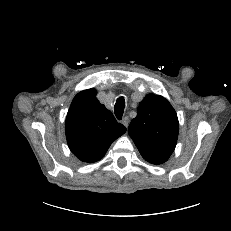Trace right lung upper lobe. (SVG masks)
Returning <instances> with one entry per match:
<instances>
[{"mask_svg":"<svg viewBox=\"0 0 231 231\" xmlns=\"http://www.w3.org/2000/svg\"><path fill=\"white\" fill-rule=\"evenodd\" d=\"M95 89L78 93L67 113L65 130L71 152L81 161L100 160L126 128L96 98Z\"/></svg>","mask_w":231,"mask_h":231,"instance_id":"obj_1","label":"right lung upper lobe"}]
</instances>
